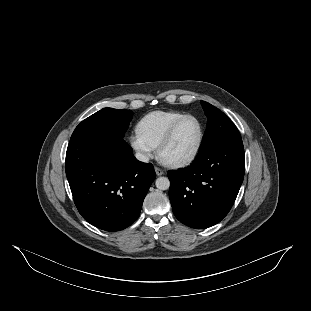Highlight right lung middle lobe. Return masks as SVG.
<instances>
[{
	"label": "right lung middle lobe",
	"mask_w": 311,
	"mask_h": 311,
	"mask_svg": "<svg viewBox=\"0 0 311 311\" xmlns=\"http://www.w3.org/2000/svg\"><path fill=\"white\" fill-rule=\"evenodd\" d=\"M132 117L131 110L104 108L83 120L71 138L91 131H107L124 137Z\"/></svg>",
	"instance_id": "dd1d6c3e"
}]
</instances>
